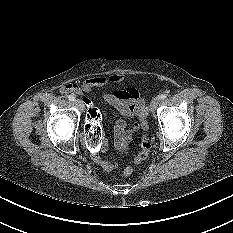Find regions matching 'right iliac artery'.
<instances>
[{
  "mask_svg": "<svg viewBox=\"0 0 233 233\" xmlns=\"http://www.w3.org/2000/svg\"><path fill=\"white\" fill-rule=\"evenodd\" d=\"M68 99H69L70 101H75V96H74V95H69V96H68Z\"/></svg>",
  "mask_w": 233,
  "mask_h": 233,
  "instance_id": "obj_1",
  "label": "right iliac artery"
}]
</instances>
